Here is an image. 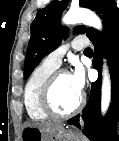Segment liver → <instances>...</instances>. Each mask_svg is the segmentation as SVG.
<instances>
[{
	"mask_svg": "<svg viewBox=\"0 0 119 141\" xmlns=\"http://www.w3.org/2000/svg\"><path fill=\"white\" fill-rule=\"evenodd\" d=\"M26 126H36L44 129H53V130H59L63 129V126L58 123H50V122H41V123H25L24 127Z\"/></svg>",
	"mask_w": 119,
	"mask_h": 141,
	"instance_id": "6515ba94",
	"label": "liver"
}]
</instances>
